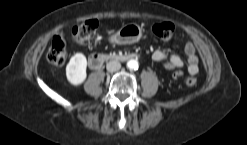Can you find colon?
I'll return each mask as SVG.
<instances>
[{"label":"colon","mask_w":247,"mask_h":145,"mask_svg":"<svg viewBox=\"0 0 247 145\" xmlns=\"http://www.w3.org/2000/svg\"><path fill=\"white\" fill-rule=\"evenodd\" d=\"M98 22L95 19H90L76 25L72 30L74 40L79 44H86L92 40L96 34ZM153 33L162 40H169L175 34V26L172 23L165 22L156 24L152 28ZM47 59L51 64L62 65L66 59L65 39L62 33H57L51 42L47 52ZM174 78L182 76L181 71H176L173 74ZM197 78L190 75L186 78L187 86H194Z\"/></svg>","instance_id":"colon-1"}]
</instances>
